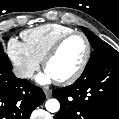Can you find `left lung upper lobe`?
<instances>
[{"instance_id":"left-lung-upper-lobe-1","label":"left lung upper lobe","mask_w":119,"mask_h":119,"mask_svg":"<svg viewBox=\"0 0 119 119\" xmlns=\"http://www.w3.org/2000/svg\"><path fill=\"white\" fill-rule=\"evenodd\" d=\"M85 35L87 36L90 44L92 45L94 51L91 54L90 60L88 61L87 65H91L95 61L101 59L102 57L106 56L107 54L111 53L115 49L112 48L109 44L98 38L94 33L88 30L85 27H81Z\"/></svg>"}]
</instances>
